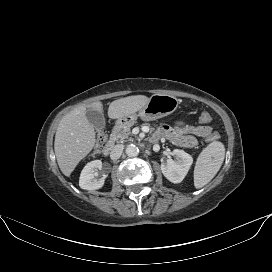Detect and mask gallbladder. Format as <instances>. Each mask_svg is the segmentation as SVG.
I'll return each mask as SVG.
<instances>
[{
  "label": "gallbladder",
  "mask_w": 272,
  "mask_h": 272,
  "mask_svg": "<svg viewBox=\"0 0 272 272\" xmlns=\"http://www.w3.org/2000/svg\"><path fill=\"white\" fill-rule=\"evenodd\" d=\"M86 117L97 130H102L106 126V121L101 110L87 109Z\"/></svg>",
  "instance_id": "1"
}]
</instances>
